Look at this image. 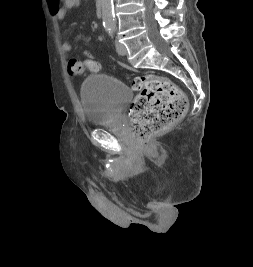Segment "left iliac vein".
<instances>
[{
	"mask_svg": "<svg viewBox=\"0 0 253 267\" xmlns=\"http://www.w3.org/2000/svg\"><path fill=\"white\" fill-rule=\"evenodd\" d=\"M116 50L117 53L121 56H125L127 54L126 48L123 44L119 43L118 41H115Z\"/></svg>",
	"mask_w": 253,
	"mask_h": 267,
	"instance_id": "left-iliac-vein-1",
	"label": "left iliac vein"
}]
</instances>
